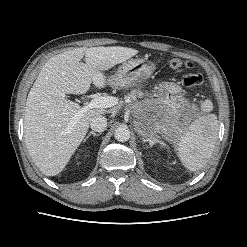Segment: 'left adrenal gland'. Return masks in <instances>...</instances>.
Segmentation results:
<instances>
[{
    "instance_id": "a2214340",
    "label": "left adrenal gland",
    "mask_w": 247,
    "mask_h": 247,
    "mask_svg": "<svg viewBox=\"0 0 247 247\" xmlns=\"http://www.w3.org/2000/svg\"><path fill=\"white\" fill-rule=\"evenodd\" d=\"M143 141H144V142H146V141L149 142L150 147H153V145L156 144V143H159V144H161L162 146L165 145L162 141H160V140L157 139V138L144 139Z\"/></svg>"
}]
</instances>
